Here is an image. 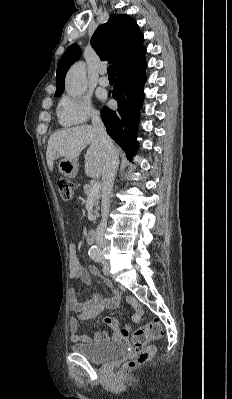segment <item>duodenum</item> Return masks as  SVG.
<instances>
[{
  "mask_svg": "<svg viewBox=\"0 0 232 399\" xmlns=\"http://www.w3.org/2000/svg\"><path fill=\"white\" fill-rule=\"evenodd\" d=\"M86 240L88 243L93 244L96 240V231L94 229H90L87 231Z\"/></svg>",
  "mask_w": 232,
  "mask_h": 399,
  "instance_id": "duodenum-1",
  "label": "duodenum"
}]
</instances>
